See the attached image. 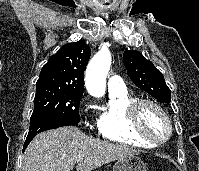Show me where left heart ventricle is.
Returning <instances> with one entry per match:
<instances>
[{"label": "left heart ventricle", "mask_w": 199, "mask_h": 171, "mask_svg": "<svg viewBox=\"0 0 199 171\" xmlns=\"http://www.w3.org/2000/svg\"><path fill=\"white\" fill-rule=\"evenodd\" d=\"M145 127L154 135L164 136L167 131L166 123L161 115L152 108H146L143 116Z\"/></svg>", "instance_id": "obj_1"}]
</instances>
